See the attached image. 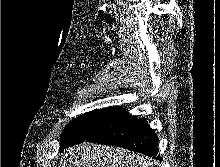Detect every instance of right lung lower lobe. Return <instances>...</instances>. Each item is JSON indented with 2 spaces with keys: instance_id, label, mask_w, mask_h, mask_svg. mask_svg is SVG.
Masks as SVG:
<instances>
[{
  "instance_id": "obj_1",
  "label": "right lung lower lobe",
  "mask_w": 220,
  "mask_h": 167,
  "mask_svg": "<svg viewBox=\"0 0 220 167\" xmlns=\"http://www.w3.org/2000/svg\"><path fill=\"white\" fill-rule=\"evenodd\" d=\"M85 141L119 146L161 160L157 155L155 132L144 119L129 115L121 108L111 109Z\"/></svg>"
}]
</instances>
